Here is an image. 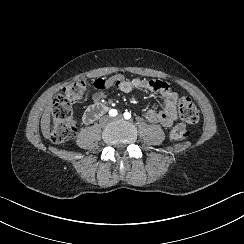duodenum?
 Returning <instances> with one entry per match:
<instances>
[{"label": "duodenum", "mask_w": 244, "mask_h": 244, "mask_svg": "<svg viewBox=\"0 0 244 244\" xmlns=\"http://www.w3.org/2000/svg\"><path fill=\"white\" fill-rule=\"evenodd\" d=\"M108 111V106L102 103H98L93 105L89 113L91 115V118L93 121H95L97 118L103 116Z\"/></svg>", "instance_id": "1"}]
</instances>
